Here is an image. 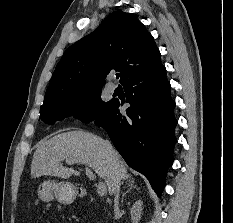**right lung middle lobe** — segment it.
Returning <instances> with one entry per match:
<instances>
[{
  "label": "right lung middle lobe",
  "instance_id": "obj_1",
  "mask_svg": "<svg viewBox=\"0 0 233 223\" xmlns=\"http://www.w3.org/2000/svg\"><path fill=\"white\" fill-rule=\"evenodd\" d=\"M111 103L112 100L102 101L101 88H96L68 96L54 103L42 105L40 113L43 121L48 124H53L55 121L71 115L79 118L84 123H89Z\"/></svg>",
  "mask_w": 233,
  "mask_h": 223
}]
</instances>
